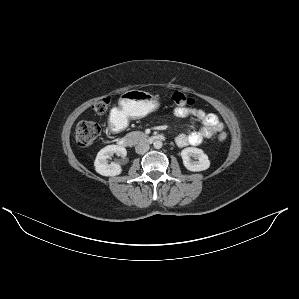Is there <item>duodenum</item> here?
I'll return each mask as SVG.
<instances>
[{
  "mask_svg": "<svg viewBox=\"0 0 299 299\" xmlns=\"http://www.w3.org/2000/svg\"><path fill=\"white\" fill-rule=\"evenodd\" d=\"M115 123H112L110 126L111 128H115ZM164 140V136L163 135H151L150 137H148V142L150 143H154L156 141H162ZM118 144L121 146V147H128L130 146V139L128 137H121L119 140H118Z\"/></svg>",
  "mask_w": 299,
  "mask_h": 299,
  "instance_id": "obj_1",
  "label": "duodenum"
}]
</instances>
